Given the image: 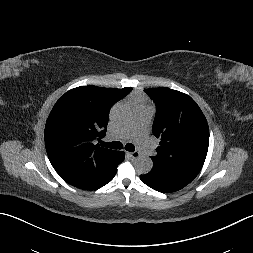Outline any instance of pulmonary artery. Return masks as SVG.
Listing matches in <instances>:
<instances>
[{
  "instance_id": "e3ab8cb5",
  "label": "pulmonary artery",
  "mask_w": 253,
  "mask_h": 253,
  "mask_svg": "<svg viewBox=\"0 0 253 253\" xmlns=\"http://www.w3.org/2000/svg\"><path fill=\"white\" fill-rule=\"evenodd\" d=\"M152 109L142 107L137 110L134 123L123 129L117 135L119 139L134 138L139 150L145 155L150 156L154 153V145L148 137V129L152 118Z\"/></svg>"
}]
</instances>
